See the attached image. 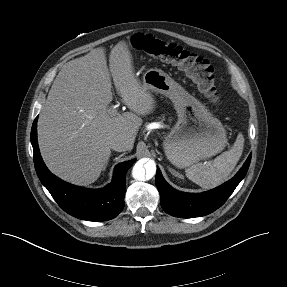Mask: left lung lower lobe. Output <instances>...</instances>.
<instances>
[{"label": "left lung lower lobe", "mask_w": 287, "mask_h": 287, "mask_svg": "<svg viewBox=\"0 0 287 287\" xmlns=\"http://www.w3.org/2000/svg\"><path fill=\"white\" fill-rule=\"evenodd\" d=\"M251 161V154L239 172L228 182L203 193H184L172 188L157 168L156 186L161 196V206L172 216L194 218L212 213L222 206L245 177Z\"/></svg>", "instance_id": "left-lung-lower-lobe-1"}]
</instances>
